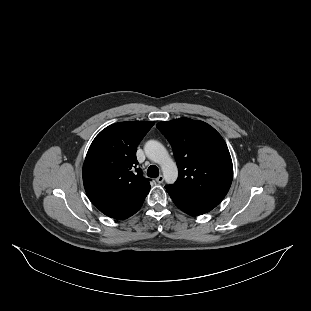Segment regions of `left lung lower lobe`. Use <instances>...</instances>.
<instances>
[{"label": "left lung lower lobe", "mask_w": 311, "mask_h": 311, "mask_svg": "<svg viewBox=\"0 0 311 311\" xmlns=\"http://www.w3.org/2000/svg\"><path fill=\"white\" fill-rule=\"evenodd\" d=\"M175 205L191 216H197L209 212L217 205L189 198L188 196L166 189Z\"/></svg>", "instance_id": "0a47b994"}]
</instances>
